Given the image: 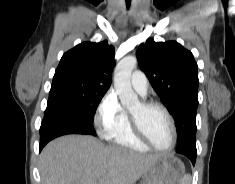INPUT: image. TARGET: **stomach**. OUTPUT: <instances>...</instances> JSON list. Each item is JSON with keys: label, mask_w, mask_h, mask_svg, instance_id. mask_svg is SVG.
<instances>
[{"label": "stomach", "mask_w": 235, "mask_h": 184, "mask_svg": "<svg viewBox=\"0 0 235 184\" xmlns=\"http://www.w3.org/2000/svg\"><path fill=\"white\" fill-rule=\"evenodd\" d=\"M185 174V166L174 156L159 158L145 172L141 184H181Z\"/></svg>", "instance_id": "stomach-1"}]
</instances>
